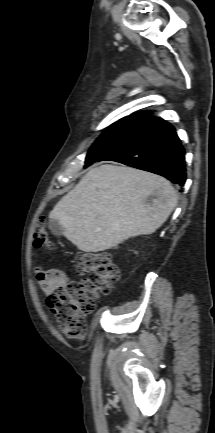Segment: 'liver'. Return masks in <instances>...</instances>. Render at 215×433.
I'll return each instance as SVG.
<instances>
[{"label": "liver", "instance_id": "liver-1", "mask_svg": "<svg viewBox=\"0 0 215 433\" xmlns=\"http://www.w3.org/2000/svg\"><path fill=\"white\" fill-rule=\"evenodd\" d=\"M176 204V192L164 177L105 164L91 169L49 218L58 221L64 236L79 250L100 252L128 238L154 233Z\"/></svg>", "mask_w": 215, "mask_h": 433}]
</instances>
